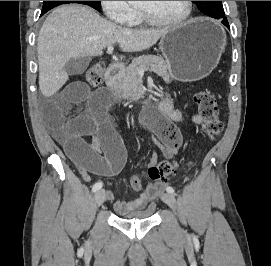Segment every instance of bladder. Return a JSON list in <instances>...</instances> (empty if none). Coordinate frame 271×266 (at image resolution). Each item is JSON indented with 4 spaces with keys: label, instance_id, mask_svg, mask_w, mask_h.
<instances>
[{
    "label": "bladder",
    "instance_id": "31cf9c89",
    "mask_svg": "<svg viewBox=\"0 0 271 266\" xmlns=\"http://www.w3.org/2000/svg\"><path fill=\"white\" fill-rule=\"evenodd\" d=\"M153 208H149L148 210L135 212L127 215H116L117 217L124 220H144L152 217Z\"/></svg>",
    "mask_w": 271,
    "mask_h": 266
}]
</instances>
